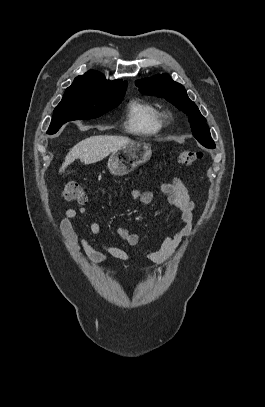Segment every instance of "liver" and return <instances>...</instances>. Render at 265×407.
I'll use <instances>...</instances> for the list:
<instances>
[{"mask_svg":"<svg viewBox=\"0 0 265 407\" xmlns=\"http://www.w3.org/2000/svg\"><path fill=\"white\" fill-rule=\"evenodd\" d=\"M131 140L123 136L99 135L86 138L77 143L65 157L60 172L73 163L75 159H80L85 164H93L103 160L113 151L127 145Z\"/></svg>","mask_w":265,"mask_h":407,"instance_id":"1","label":"liver"}]
</instances>
